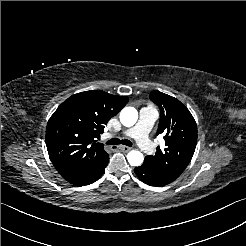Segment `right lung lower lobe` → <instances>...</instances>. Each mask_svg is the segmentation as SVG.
I'll list each match as a JSON object with an SVG mask.
<instances>
[{
    "label": "right lung lower lobe",
    "instance_id": "right-lung-lower-lobe-1",
    "mask_svg": "<svg viewBox=\"0 0 246 246\" xmlns=\"http://www.w3.org/2000/svg\"><path fill=\"white\" fill-rule=\"evenodd\" d=\"M109 155L106 154L97 164L85 167H69L58 170L68 182L74 185H88L96 181L105 171Z\"/></svg>",
    "mask_w": 246,
    "mask_h": 246
}]
</instances>
